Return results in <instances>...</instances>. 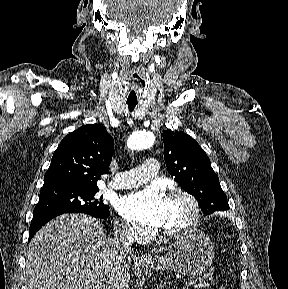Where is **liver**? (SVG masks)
I'll return each instance as SVG.
<instances>
[{"label":"liver","instance_id":"1","mask_svg":"<svg viewBox=\"0 0 288 289\" xmlns=\"http://www.w3.org/2000/svg\"><path fill=\"white\" fill-rule=\"evenodd\" d=\"M130 265V257L120 266L114 265L110 240L96 218L63 214L43 226L30 241L26 279L29 289H95L106 270L111 273L120 267L116 289H126Z\"/></svg>","mask_w":288,"mask_h":289}]
</instances>
